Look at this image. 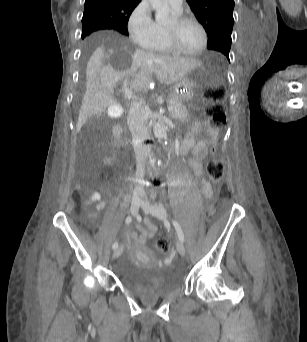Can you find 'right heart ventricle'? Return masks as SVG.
Instances as JSON below:
<instances>
[{"mask_svg":"<svg viewBox=\"0 0 307 342\" xmlns=\"http://www.w3.org/2000/svg\"><path fill=\"white\" fill-rule=\"evenodd\" d=\"M145 47L151 51H156V52H160V53H168L169 52L163 43V39L156 40V41L148 44Z\"/></svg>","mask_w":307,"mask_h":342,"instance_id":"e07e8e85","label":"right heart ventricle"}]
</instances>
